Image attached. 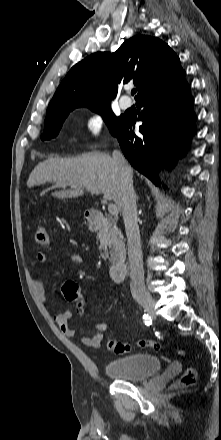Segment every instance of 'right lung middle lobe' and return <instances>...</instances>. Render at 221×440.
I'll return each instance as SVG.
<instances>
[{"mask_svg":"<svg viewBox=\"0 0 221 440\" xmlns=\"http://www.w3.org/2000/svg\"><path fill=\"white\" fill-rule=\"evenodd\" d=\"M80 106L84 105H70L54 110H48L46 113L44 132L41 135V139L49 140L56 137L70 111ZM89 108L103 117V120L108 125L112 134L115 133L125 119L123 116L116 117L110 109V104Z\"/></svg>","mask_w":221,"mask_h":440,"instance_id":"dd1d6c3e","label":"right lung middle lobe"}]
</instances>
